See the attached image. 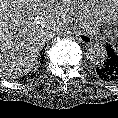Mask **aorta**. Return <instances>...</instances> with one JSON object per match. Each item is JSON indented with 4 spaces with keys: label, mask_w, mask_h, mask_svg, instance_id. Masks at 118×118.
Wrapping results in <instances>:
<instances>
[{
    "label": "aorta",
    "mask_w": 118,
    "mask_h": 118,
    "mask_svg": "<svg viewBox=\"0 0 118 118\" xmlns=\"http://www.w3.org/2000/svg\"><path fill=\"white\" fill-rule=\"evenodd\" d=\"M87 55L91 62L101 64L107 57V51L102 45L94 43L87 48Z\"/></svg>",
    "instance_id": "762f6f07"
}]
</instances>
